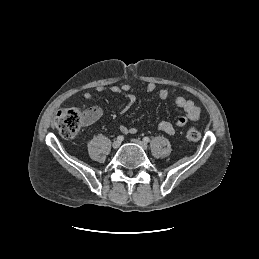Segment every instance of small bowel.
Returning <instances> with one entry per match:
<instances>
[{"label": "small bowel", "mask_w": 259, "mask_h": 259, "mask_svg": "<svg viewBox=\"0 0 259 259\" xmlns=\"http://www.w3.org/2000/svg\"><path fill=\"white\" fill-rule=\"evenodd\" d=\"M98 92L102 91H110L111 93L121 95L126 99V102H123L120 105V112L125 113L128 111L131 106L136 101V93L138 91L145 92V93H153L157 90V85L155 83H148L145 87L140 90L132 88L130 85L127 84H120V85H98L96 87ZM158 96L161 99H167L169 97V93L166 89H159ZM83 97L85 100H90L92 98V93L90 91H85L83 93ZM175 104L181 108L184 112V116H180L176 119L174 123L168 121H161L158 123L157 128L158 130L168 134L173 135L176 131V128L184 127L188 125L190 122H195L200 117V108L192 101L183 96H178L175 99ZM93 116L91 121H94L99 118L101 111L98 108L91 109ZM120 131L123 134H135L137 132L136 128L128 127V126H120Z\"/></svg>", "instance_id": "obj_1"}]
</instances>
